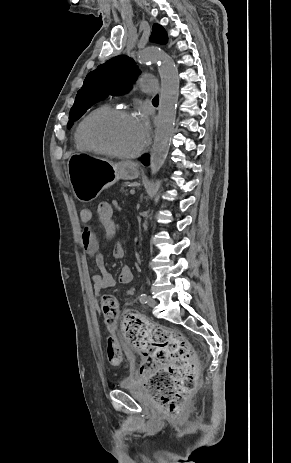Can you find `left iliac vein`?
Returning <instances> with one entry per match:
<instances>
[{"label":"left iliac vein","mask_w":291,"mask_h":463,"mask_svg":"<svg viewBox=\"0 0 291 463\" xmlns=\"http://www.w3.org/2000/svg\"><path fill=\"white\" fill-rule=\"evenodd\" d=\"M147 304L150 307H154L156 305V300L154 298H152V297H149L148 301H147Z\"/></svg>","instance_id":"4c4485c4"}]
</instances>
